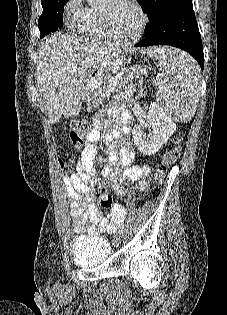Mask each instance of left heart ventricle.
Segmentation results:
<instances>
[{"label": "left heart ventricle", "instance_id": "b2bd125f", "mask_svg": "<svg viewBox=\"0 0 227 315\" xmlns=\"http://www.w3.org/2000/svg\"><path fill=\"white\" fill-rule=\"evenodd\" d=\"M101 10L108 14L117 34L130 37L138 30L140 17L135 9L124 0H106Z\"/></svg>", "mask_w": 227, "mask_h": 315}]
</instances>
